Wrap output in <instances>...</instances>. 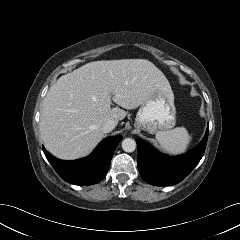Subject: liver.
Masks as SVG:
<instances>
[{
	"label": "liver",
	"instance_id": "1",
	"mask_svg": "<svg viewBox=\"0 0 240 240\" xmlns=\"http://www.w3.org/2000/svg\"><path fill=\"white\" fill-rule=\"evenodd\" d=\"M170 84L146 59L94 61L61 76L46 94L39 130L46 149L61 159L88 154L104 137L103 124L123 120L154 92ZM173 95V93H172Z\"/></svg>",
	"mask_w": 240,
	"mask_h": 240
}]
</instances>
